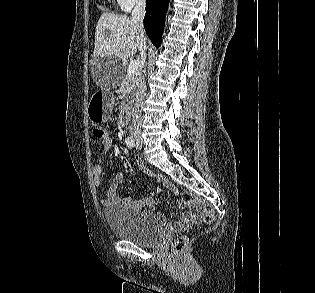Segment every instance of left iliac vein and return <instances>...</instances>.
I'll return each instance as SVG.
<instances>
[{"mask_svg": "<svg viewBox=\"0 0 315 293\" xmlns=\"http://www.w3.org/2000/svg\"><path fill=\"white\" fill-rule=\"evenodd\" d=\"M142 147V142L137 141L136 142V148L140 149Z\"/></svg>", "mask_w": 315, "mask_h": 293, "instance_id": "left-iliac-vein-1", "label": "left iliac vein"}]
</instances>
